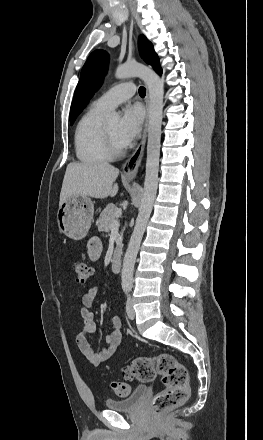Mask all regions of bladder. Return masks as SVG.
Here are the masks:
<instances>
[{
  "label": "bladder",
  "mask_w": 263,
  "mask_h": 440,
  "mask_svg": "<svg viewBox=\"0 0 263 440\" xmlns=\"http://www.w3.org/2000/svg\"><path fill=\"white\" fill-rule=\"evenodd\" d=\"M147 391V386H137L132 393L125 398L106 400L104 403L105 407L109 410L118 412L134 411L141 403Z\"/></svg>",
  "instance_id": "1"
}]
</instances>
